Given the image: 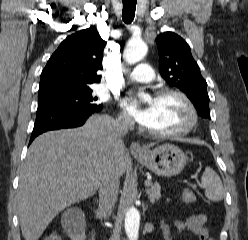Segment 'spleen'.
<instances>
[{"mask_svg":"<svg viewBox=\"0 0 248 240\" xmlns=\"http://www.w3.org/2000/svg\"><path fill=\"white\" fill-rule=\"evenodd\" d=\"M205 188V196L211 201H221L224 196V188L219 175L210 167H207L201 178Z\"/></svg>","mask_w":248,"mask_h":240,"instance_id":"1","label":"spleen"}]
</instances>
